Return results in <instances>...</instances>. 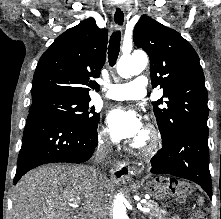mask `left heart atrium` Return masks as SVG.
Wrapping results in <instances>:
<instances>
[{
	"label": "left heart atrium",
	"instance_id": "39dd6f15",
	"mask_svg": "<svg viewBox=\"0 0 221 219\" xmlns=\"http://www.w3.org/2000/svg\"><path fill=\"white\" fill-rule=\"evenodd\" d=\"M107 125L110 136L115 141L134 140L142 131L138 114L129 108L112 109L107 116Z\"/></svg>",
	"mask_w": 221,
	"mask_h": 219
}]
</instances>
